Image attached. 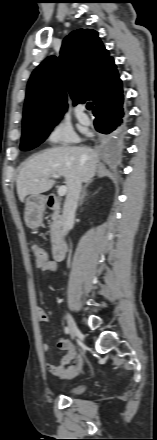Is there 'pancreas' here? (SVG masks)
<instances>
[{"instance_id":"pancreas-1","label":"pancreas","mask_w":157,"mask_h":440,"mask_svg":"<svg viewBox=\"0 0 157 440\" xmlns=\"http://www.w3.org/2000/svg\"><path fill=\"white\" fill-rule=\"evenodd\" d=\"M52 223L50 224V236H51V243L54 245L57 243L60 235H61V228H62V217L59 214L58 210H54L52 214Z\"/></svg>"}]
</instances>
